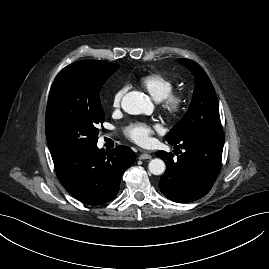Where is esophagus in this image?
I'll use <instances>...</instances> for the list:
<instances>
[{
  "instance_id": "obj_1",
  "label": "esophagus",
  "mask_w": 269,
  "mask_h": 269,
  "mask_svg": "<svg viewBox=\"0 0 269 269\" xmlns=\"http://www.w3.org/2000/svg\"><path fill=\"white\" fill-rule=\"evenodd\" d=\"M152 156L146 152L140 154V156L138 157L139 160H146V159H151Z\"/></svg>"
}]
</instances>
